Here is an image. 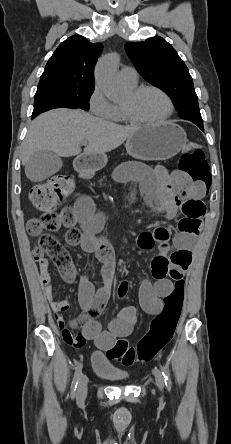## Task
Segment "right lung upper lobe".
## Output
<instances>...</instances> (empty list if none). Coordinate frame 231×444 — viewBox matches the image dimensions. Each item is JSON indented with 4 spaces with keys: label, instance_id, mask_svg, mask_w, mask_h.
Here are the masks:
<instances>
[{
    "label": "right lung upper lobe",
    "instance_id": "obj_1",
    "mask_svg": "<svg viewBox=\"0 0 231 444\" xmlns=\"http://www.w3.org/2000/svg\"><path fill=\"white\" fill-rule=\"evenodd\" d=\"M102 48L100 43H90L81 35L69 37L49 59L38 87H94V65Z\"/></svg>",
    "mask_w": 231,
    "mask_h": 444
}]
</instances>
